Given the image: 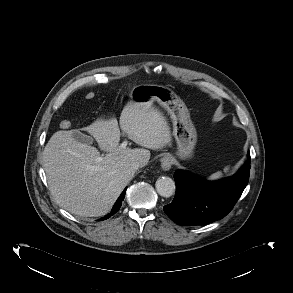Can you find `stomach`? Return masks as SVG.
<instances>
[{
	"mask_svg": "<svg viewBox=\"0 0 293 293\" xmlns=\"http://www.w3.org/2000/svg\"><path fill=\"white\" fill-rule=\"evenodd\" d=\"M157 102L162 106L173 123V135L178 145L180 159L190 158L197 141V132L190 119L184 102L169 88L155 84H140L130 92V103L140 107Z\"/></svg>",
	"mask_w": 293,
	"mask_h": 293,
	"instance_id": "0dacf381",
	"label": "stomach"
}]
</instances>
